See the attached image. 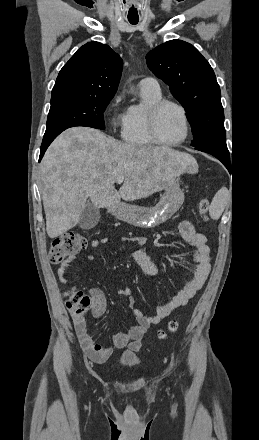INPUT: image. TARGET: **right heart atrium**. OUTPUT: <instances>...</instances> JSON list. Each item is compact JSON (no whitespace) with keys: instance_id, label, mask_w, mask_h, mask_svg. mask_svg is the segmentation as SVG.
I'll use <instances>...</instances> for the list:
<instances>
[{"instance_id":"obj_1","label":"right heart atrium","mask_w":259,"mask_h":440,"mask_svg":"<svg viewBox=\"0 0 259 440\" xmlns=\"http://www.w3.org/2000/svg\"><path fill=\"white\" fill-rule=\"evenodd\" d=\"M122 99H123L122 94L117 95L111 103V108L116 109L120 105ZM110 124L114 129H118V128L122 129L125 124V114L112 115L110 117Z\"/></svg>"}]
</instances>
